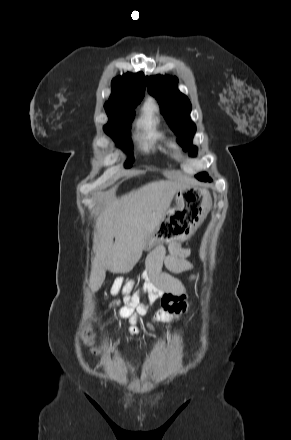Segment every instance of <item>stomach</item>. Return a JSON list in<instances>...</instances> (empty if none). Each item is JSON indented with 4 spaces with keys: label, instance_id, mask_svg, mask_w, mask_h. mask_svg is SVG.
I'll return each instance as SVG.
<instances>
[{
    "label": "stomach",
    "instance_id": "1",
    "mask_svg": "<svg viewBox=\"0 0 291 440\" xmlns=\"http://www.w3.org/2000/svg\"><path fill=\"white\" fill-rule=\"evenodd\" d=\"M175 203V208L165 212L145 248L191 236L209 213L212 198L205 188L183 186L175 193Z\"/></svg>",
    "mask_w": 291,
    "mask_h": 440
}]
</instances>
